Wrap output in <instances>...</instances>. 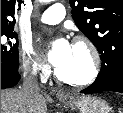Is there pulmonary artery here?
<instances>
[{"label":"pulmonary artery","instance_id":"1","mask_svg":"<svg viewBox=\"0 0 123 113\" xmlns=\"http://www.w3.org/2000/svg\"><path fill=\"white\" fill-rule=\"evenodd\" d=\"M65 17V7L62 4H53L40 16V21L45 24H57Z\"/></svg>","mask_w":123,"mask_h":113}]
</instances>
